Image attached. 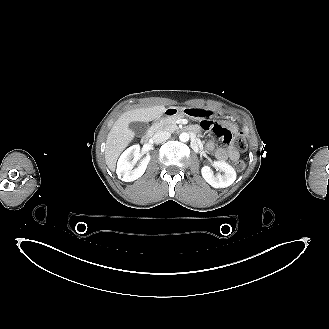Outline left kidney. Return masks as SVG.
Returning a JSON list of instances; mask_svg holds the SVG:
<instances>
[{
	"label": "left kidney",
	"instance_id": "1",
	"mask_svg": "<svg viewBox=\"0 0 329 329\" xmlns=\"http://www.w3.org/2000/svg\"><path fill=\"white\" fill-rule=\"evenodd\" d=\"M214 167L223 173L214 174L209 166L201 169L202 177L214 188H225L236 180V172L232 166L224 161H215Z\"/></svg>",
	"mask_w": 329,
	"mask_h": 329
}]
</instances>
